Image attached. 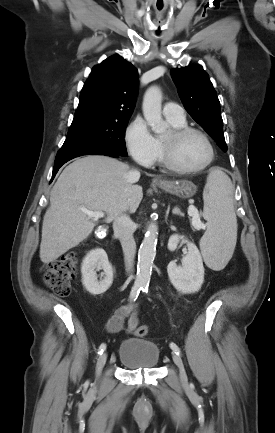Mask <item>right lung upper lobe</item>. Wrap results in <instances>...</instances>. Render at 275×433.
<instances>
[{
    "label": "right lung upper lobe",
    "mask_w": 275,
    "mask_h": 433,
    "mask_svg": "<svg viewBox=\"0 0 275 433\" xmlns=\"http://www.w3.org/2000/svg\"><path fill=\"white\" fill-rule=\"evenodd\" d=\"M137 69L113 55L94 66L85 82L73 120H122L132 115L138 88Z\"/></svg>",
    "instance_id": "right-lung-upper-lobe-1"
}]
</instances>
